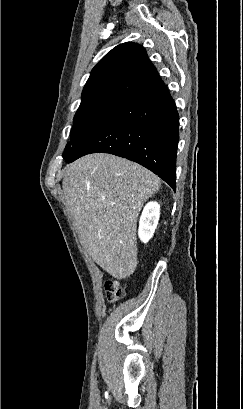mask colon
<instances>
[{
  "label": "colon",
  "instance_id": "colon-1",
  "mask_svg": "<svg viewBox=\"0 0 243 409\" xmlns=\"http://www.w3.org/2000/svg\"><path fill=\"white\" fill-rule=\"evenodd\" d=\"M106 297L109 302H115L124 295V287L118 282H107L105 285Z\"/></svg>",
  "mask_w": 243,
  "mask_h": 409
}]
</instances>
